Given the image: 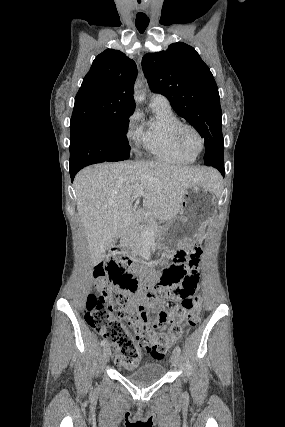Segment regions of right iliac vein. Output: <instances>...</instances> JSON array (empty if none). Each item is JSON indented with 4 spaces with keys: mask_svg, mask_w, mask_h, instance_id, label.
I'll return each mask as SVG.
<instances>
[{
    "mask_svg": "<svg viewBox=\"0 0 285 427\" xmlns=\"http://www.w3.org/2000/svg\"><path fill=\"white\" fill-rule=\"evenodd\" d=\"M111 355V349L109 345H106L103 348V357H104V361L107 362L109 360V357Z\"/></svg>",
    "mask_w": 285,
    "mask_h": 427,
    "instance_id": "right-iliac-vein-1",
    "label": "right iliac vein"
}]
</instances>
